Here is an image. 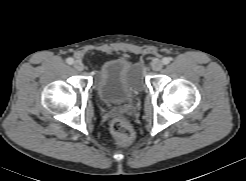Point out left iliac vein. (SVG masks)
<instances>
[{"label": "left iliac vein", "mask_w": 246, "mask_h": 181, "mask_svg": "<svg viewBox=\"0 0 246 181\" xmlns=\"http://www.w3.org/2000/svg\"><path fill=\"white\" fill-rule=\"evenodd\" d=\"M151 68L154 71H160L163 68V63L160 60H155L151 64Z\"/></svg>", "instance_id": "1"}]
</instances>
